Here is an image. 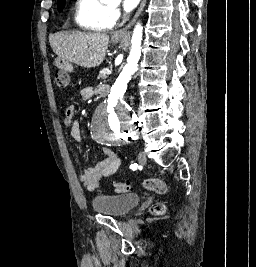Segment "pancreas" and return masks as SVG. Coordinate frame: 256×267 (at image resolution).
Returning <instances> with one entry per match:
<instances>
[{
  "mask_svg": "<svg viewBox=\"0 0 256 267\" xmlns=\"http://www.w3.org/2000/svg\"><path fill=\"white\" fill-rule=\"evenodd\" d=\"M99 78H105V76H102V74H100Z\"/></svg>",
  "mask_w": 256,
  "mask_h": 267,
  "instance_id": "1",
  "label": "pancreas"
}]
</instances>
